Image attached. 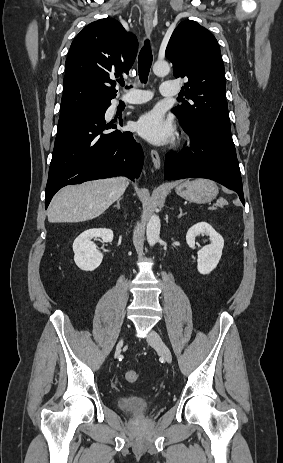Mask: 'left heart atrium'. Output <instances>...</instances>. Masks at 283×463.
<instances>
[{"label":"left heart atrium","instance_id":"39dd6f15","mask_svg":"<svg viewBox=\"0 0 283 463\" xmlns=\"http://www.w3.org/2000/svg\"><path fill=\"white\" fill-rule=\"evenodd\" d=\"M137 131L145 139L155 144H164L173 135L171 123L165 120L164 116L156 110L144 114L139 119Z\"/></svg>","mask_w":283,"mask_h":463}]
</instances>
